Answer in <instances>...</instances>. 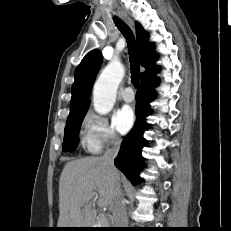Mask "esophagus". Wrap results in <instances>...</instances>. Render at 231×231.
I'll return each mask as SVG.
<instances>
[{"mask_svg": "<svg viewBox=\"0 0 231 231\" xmlns=\"http://www.w3.org/2000/svg\"><path fill=\"white\" fill-rule=\"evenodd\" d=\"M125 20L130 24L133 25L132 21L130 20V18L125 17Z\"/></svg>", "mask_w": 231, "mask_h": 231, "instance_id": "obj_1", "label": "esophagus"}]
</instances>
